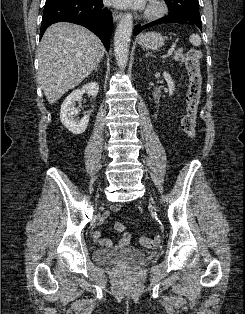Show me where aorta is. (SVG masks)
I'll use <instances>...</instances> for the list:
<instances>
[{
  "label": "aorta",
  "mask_w": 245,
  "mask_h": 314,
  "mask_svg": "<svg viewBox=\"0 0 245 314\" xmlns=\"http://www.w3.org/2000/svg\"><path fill=\"white\" fill-rule=\"evenodd\" d=\"M132 14L126 13L117 25L114 36V53L117 65L124 69L128 62L130 38L132 35Z\"/></svg>",
  "instance_id": "aorta-1"
}]
</instances>
